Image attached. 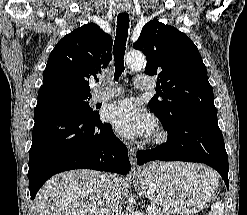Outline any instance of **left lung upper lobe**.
<instances>
[{"mask_svg": "<svg viewBox=\"0 0 247 215\" xmlns=\"http://www.w3.org/2000/svg\"><path fill=\"white\" fill-rule=\"evenodd\" d=\"M133 47L146 55L145 73L158 76L157 95L149 107L164 125L171 126L182 117H217L206 66L186 34L152 20Z\"/></svg>", "mask_w": 247, "mask_h": 215, "instance_id": "5c2ea615", "label": "left lung upper lobe"}]
</instances>
